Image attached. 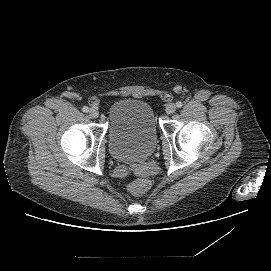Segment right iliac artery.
Returning a JSON list of instances; mask_svg holds the SVG:
<instances>
[{
    "mask_svg": "<svg viewBox=\"0 0 271 271\" xmlns=\"http://www.w3.org/2000/svg\"><path fill=\"white\" fill-rule=\"evenodd\" d=\"M82 111H83L84 113H87V112L89 111V108H88L87 106H84V107L82 108Z\"/></svg>",
    "mask_w": 271,
    "mask_h": 271,
    "instance_id": "1",
    "label": "right iliac artery"
}]
</instances>
